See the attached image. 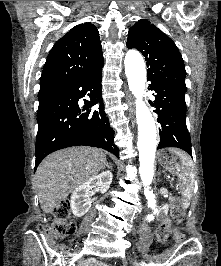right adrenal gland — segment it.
Listing matches in <instances>:
<instances>
[{"instance_id":"obj_1","label":"right adrenal gland","mask_w":221,"mask_h":266,"mask_svg":"<svg viewBox=\"0 0 221 266\" xmlns=\"http://www.w3.org/2000/svg\"><path fill=\"white\" fill-rule=\"evenodd\" d=\"M106 167H107L108 169H112V166H111L110 164H108V163H106Z\"/></svg>"}]
</instances>
